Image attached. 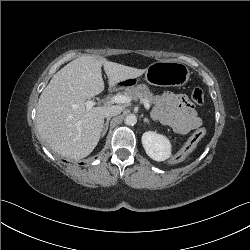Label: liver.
Here are the masks:
<instances>
[{"instance_id": "obj_1", "label": "liver", "mask_w": 250, "mask_h": 250, "mask_svg": "<svg viewBox=\"0 0 250 250\" xmlns=\"http://www.w3.org/2000/svg\"><path fill=\"white\" fill-rule=\"evenodd\" d=\"M102 66L110 87L146 72L100 56L84 55L60 69L40 95L36 116L39 134L64 157H87L99 142L109 106L87 110L85 103L104 90Z\"/></svg>"}]
</instances>
